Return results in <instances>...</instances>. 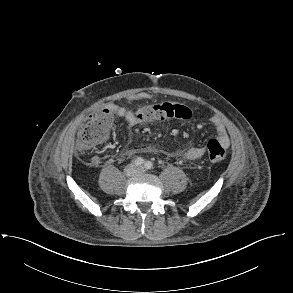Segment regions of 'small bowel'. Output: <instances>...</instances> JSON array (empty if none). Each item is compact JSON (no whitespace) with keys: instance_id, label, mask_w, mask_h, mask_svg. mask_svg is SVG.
<instances>
[{"instance_id":"c3829d8e","label":"small bowel","mask_w":293,"mask_h":293,"mask_svg":"<svg viewBox=\"0 0 293 293\" xmlns=\"http://www.w3.org/2000/svg\"><path fill=\"white\" fill-rule=\"evenodd\" d=\"M148 99L147 96H141L136 100H145ZM107 109L110 110L115 116L123 118L127 121L130 126H136L143 122L139 119L131 110L128 108L118 105V104H109ZM210 123L213 125L216 132V140L224 147L227 148L230 145V138L228 136L227 130L224 124L218 118H211ZM207 152L206 146L191 147L187 149L183 156L189 160H196L201 158ZM99 163V157L95 156L92 158V164L97 165Z\"/></svg>"}]
</instances>
